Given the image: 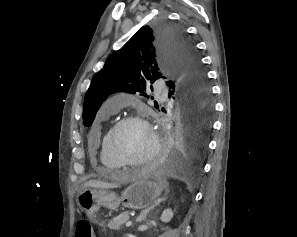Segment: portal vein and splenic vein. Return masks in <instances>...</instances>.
<instances>
[{"label":"portal vein and splenic vein","mask_w":297,"mask_h":237,"mask_svg":"<svg viewBox=\"0 0 297 237\" xmlns=\"http://www.w3.org/2000/svg\"><path fill=\"white\" fill-rule=\"evenodd\" d=\"M132 225V221H127L126 222V227H130Z\"/></svg>","instance_id":"obj_1"}]
</instances>
